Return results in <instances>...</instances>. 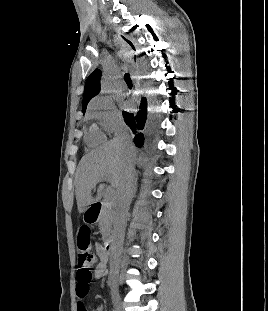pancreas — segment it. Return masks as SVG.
Masks as SVG:
<instances>
[{
    "label": "pancreas",
    "instance_id": "cf45deb5",
    "mask_svg": "<svg viewBox=\"0 0 268 311\" xmlns=\"http://www.w3.org/2000/svg\"><path fill=\"white\" fill-rule=\"evenodd\" d=\"M114 211L110 205H106L102 210L99 218V227L102 234V239L106 240L111 232L112 221H113Z\"/></svg>",
    "mask_w": 268,
    "mask_h": 311
}]
</instances>
